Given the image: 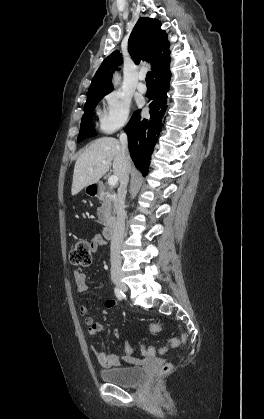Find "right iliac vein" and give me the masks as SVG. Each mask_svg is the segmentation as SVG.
Masks as SVG:
<instances>
[{"label":"right iliac vein","mask_w":264,"mask_h":419,"mask_svg":"<svg viewBox=\"0 0 264 419\" xmlns=\"http://www.w3.org/2000/svg\"><path fill=\"white\" fill-rule=\"evenodd\" d=\"M113 281L122 290H125L126 289L125 285L121 282V278L118 275H114L113 276Z\"/></svg>","instance_id":"63e3f726"}]
</instances>
